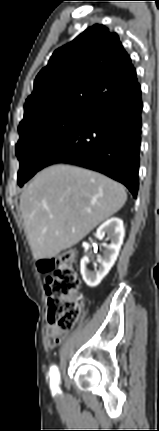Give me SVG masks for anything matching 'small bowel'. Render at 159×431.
Listing matches in <instances>:
<instances>
[{"label": "small bowel", "mask_w": 159, "mask_h": 431, "mask_svg": "<svg viewBox=\"0 0 159 431\" xmlns=\"http://www.w3.org/2000/svg\"><path fill=\"white\" fill-rule=\"evenodd\" d=\"M68 331L59 328L56 324H48L46 327V339L50 348H55L66 338Z\"/></svg>", "instance_id": "small-bowel-1"}]
</instances>
